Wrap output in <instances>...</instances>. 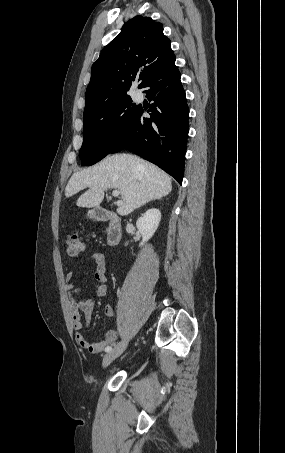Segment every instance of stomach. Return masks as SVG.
<instances>
[{"label": "stomach", "instance_id": "obj_1", "mask_svg": "<svg viewBox=\"0 0 285 453\" xmlns=\"http://www.w3.org/2000/svg\"><path fill=\"white\" fill-rule=\"evenodd\" d=\"M88 216H89L90 218H93V217H94V214H93V212H92V211H91V212H89V213H88Z\"/></svg>", "mask_w": 285, "mask_h": 453}]
</instances>
